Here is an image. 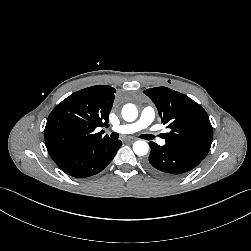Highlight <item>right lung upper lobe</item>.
Segmentation results:
<instances>
[{
    "label": "right lung upper lobe",
    "instance_id": "obj_1",
    "mask_svg": "<svg viewBox=\"0 0 251 251\" xmlns=\"http://www.w3.org/2000/svg\"><path fill=\"white\" fill-rule=\"evenodd\" d=\"M115 92L106 85L88 87L73 93L53 109L44 137L55 163L88 144L110 139L94 131L98 126H108Z\"/></svg>",
    "mask_w": 251,
    "mask_h": 251
}]
</instances>
